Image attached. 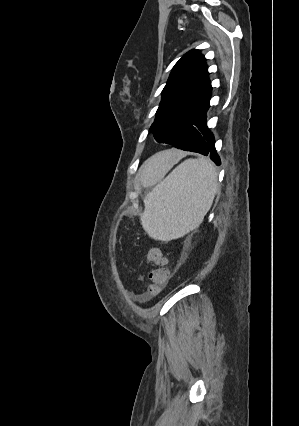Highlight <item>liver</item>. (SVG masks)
<instances>
[{
	"mask_svg": "<svg viewBox=\"0 0 299 426\" xmlns=\"http://www.w3.org/2000/svg\"><path fill=\"white\" fill-rule=\"evenodd\" d=\"M166 153H158L156 155H154L153 157H151L149 160H147L145 162V164L143 165L142 169H148L150 168V166L154 163V162H158L160 160H162L165 157Z\"/></svg>",
	"mask_w": 299,
	"mask_h": 426,
	"instance_id": "1",
	"label": "liver"
}]
</instances>
